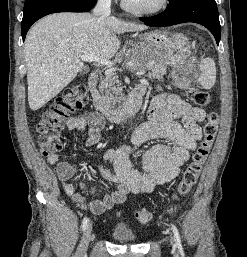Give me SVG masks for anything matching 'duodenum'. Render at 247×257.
Wrapping results in <instances>:
<instances>
[{
    "label": "duodenum",
    "mask_w": 247,
    "mask_h": 257,
    "mask_svg": "<svg viewBox=\"0 0 247 257\" xmlns=\"http://www.w3.org/2000/svg\"><path fill=\"white\" fill-rule=\"evenodd\" d=\"M98 74L90 73L87 79V86L93 107L102 113L110 121H122L134 116L140 109L143 95L147 88L144 84H139L128 100L121 106H112L105 103L96 92Z\"/></svg>",
    "instance_id": "1"
}]
</instances>
